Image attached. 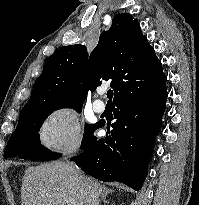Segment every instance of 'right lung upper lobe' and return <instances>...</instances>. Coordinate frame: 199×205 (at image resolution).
Masks as SVG:
<instances>
[{"label": "right lung upper lobe", "instance_id": "cb5924a9", "mask_svg": "<svg viewBox=\"0 0 199 205\" xmlns=\"http://www.w3.org/2000/svg\"><path fill=\"white\" fill-rule=\"evenodd\" d=\"M161 70L162 64L139 23L129 13L116 14L90 56L84 45L75 44L63 46L48 57L27 103L83 104L89 90L93 92L107 81L116 97L133 81Z\"/></svg>", "mask_w": 199, "mask_h": 205}]
</instances>
